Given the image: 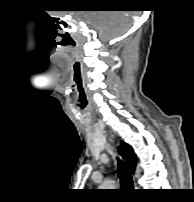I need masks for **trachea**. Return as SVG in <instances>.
I'll return each instance as SVG.
<instances>
[{
  "mask_svg": "<svg viewBox=\"0 0 194 202\" xmlns=\"http://www.w3.org/2000/svg\"><path fill=\"white\" fill-rule=\"evenodd\" d=\"M118 176L123 187L130 188L133 186V180L128 171V167L123 161L120 160L118 161Z\"/></svg>",
  "mask_w": 194,
  "mask_h": 202,
  "instance_id": "obj_1",
  "label": "trachea"
}]
</instances>
